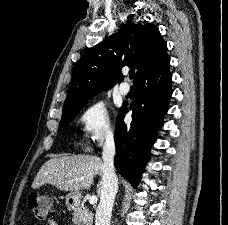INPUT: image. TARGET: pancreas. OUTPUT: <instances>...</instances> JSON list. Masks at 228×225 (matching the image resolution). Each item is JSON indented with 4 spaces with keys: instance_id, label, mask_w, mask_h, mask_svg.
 Returning <instances> with one entry per match:
<instances>
[{
    "instance_id": "obj_1",
    "label": "pancreas",
    "mask_w": 228,
    "mask_h": 225,
    "mask_svg": "<svg viewBox=\"0 0 228 225\" xmlns=\"http://www.w3.org/2000/svg\"><path fill=\"white\" fill-rule=\"evenodd\" d=\"M73 225H92L93 223V213L86 209V207H75L73 209Z\"/></svg>"
}]
</instances>
